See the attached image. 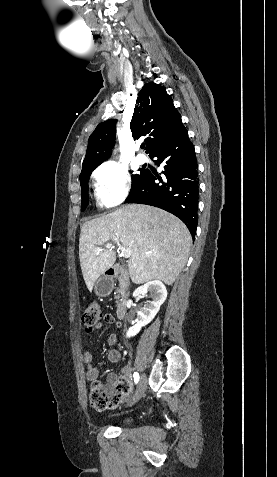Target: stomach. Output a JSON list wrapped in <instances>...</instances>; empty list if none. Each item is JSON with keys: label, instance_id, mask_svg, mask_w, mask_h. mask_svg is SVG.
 <instances>
[{"label": "stomach", "instance_id": "obj_1", "mask_svg": "<svg viewBox=\"0 0 277 477\" xmlns=\"http://www.w3.org/2000/svg\"><path fill=\"white\" fill-rule=\"evenodd\" d=\"M113 290V282L110 278L102 276L94 284V291L98 296H107Z\"/></svg>", "mask_w": 277, "mask_h": 477}]
</instances>
